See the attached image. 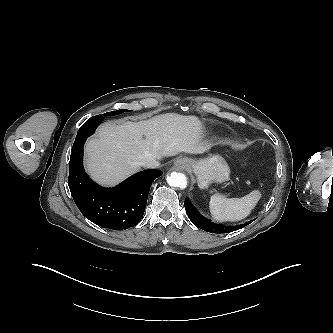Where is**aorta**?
Wrapping results in <instances>:
<instances>
[{"instance_id":"762f6f07","label":"aorta","mask_w":333,"mask_h":333,"mask_svg":"<svg viewBox=\"0 0 333 333\" xmlns=\"http://www.w3.org/2000/svg\"><path fill=\"white\" fill-rule=\"evenodd\" d=\"M166 180L171 187L185 189L187 186V177L185 176V174L180 172H172L170 175L167 176Z\"/></svg>"}]
</instances>
